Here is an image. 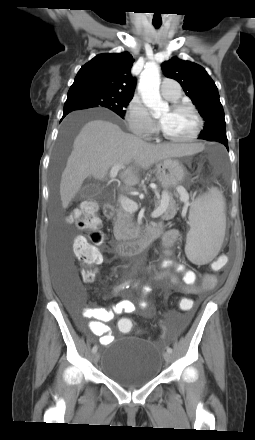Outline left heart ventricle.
Instances as JSON below:
<instances>
[{
  "instance_id": "obj_1",
  "label": "left heart ventricle",
  "mask_w": 255,
  "mask_h": 440,
  "mask_svg": "<svg viewBox=\"0 0 255 440\" xmlns=\"http://www.w3.org/2000/svg\"><path fill=\"white\" fill-rule=\"evenodd\" d=\"M162 129L170 136L178 139L189 137L196 128V120L188 110L168 109L159 116Z\"/></svg>"
}]
</instances>
